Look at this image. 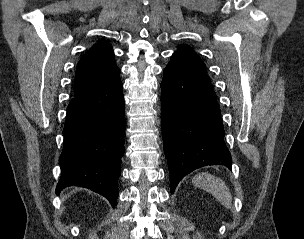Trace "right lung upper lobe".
I'll list each match as a JSON object with an SVG mask.
<instances>
[{
	"mask_svg": "<svg viewBox=\"0 0 304 239\" xmlns=\"http://www.w3.org/2000/svg\"><path fill=\"white\" fill-rule=\"evenodd\" d=\"M113 49L108 41H100L79 61L76 69L74 95L83 93L117 72Z\"/></svg>",
	"mask_w": 304,
	"mask_h": 239,
	"instance_id": "right-lung-upper-lobe-1",
	"label": "right lung upper lobe"
}]
</instances>
